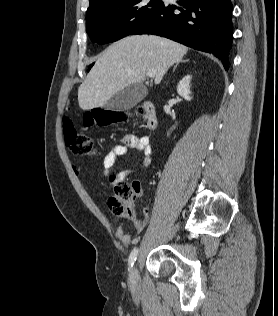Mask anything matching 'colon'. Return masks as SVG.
<instances>
[{
    "instance_id": "5ec220e1",
    "label": "colon",
    "mask_w": 278,
    "mask_h": 316,
    "mask_svg": "<svg viewBox=\"0 0 278 316\" xmlns=\"http://www.w3.org/2000/svg\"><path fill=\"white\" fill-rule=\"evenodd\" d=\"M128 114L118 111H92L84 116L86 126L107 127L112 124L123 123L127 121ZM64 139L67 148L77 155H90L95 152L93 142L89 136L78 131L74 122L70 118L63 120ZM114 181V177L111 178ZM139 189V184L134 182H116L113 185V194L108 200L111 212L116 216H127L135 219V196Z\"/></svg>"
}]
</instances>
